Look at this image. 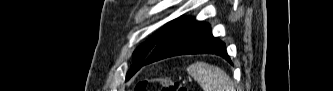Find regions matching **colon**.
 Returning a JSON list of instances; mask_svg holds the SVG:
<instances>
[{
  "label": "colon",
  "instance_id": "5ec220e1",
  "mask_svg": "<svg viewBox=\"0 0 333 91\" xmlns=\"http://www.w3.org/2000/svg\"><path fill=\"white\" fill-rule=\"evenodd\" d=\"M154 81L159 84L161 91H188V89L183 84L171 79L168 76H159ZM152 82L153 81L148 79L141 80L136 84L134 90L147 91Z\"/></svg>",
  "mask_w": 333,
  "mask_h": 91
}]
</instances>
